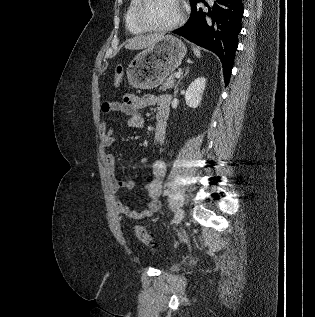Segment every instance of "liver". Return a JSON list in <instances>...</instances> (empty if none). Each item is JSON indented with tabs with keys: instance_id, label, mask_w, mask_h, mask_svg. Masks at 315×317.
Masks as SVG:
<instances>
[{
	"instance_id": "1",
	"label": "liver",
	"mask_w": 315,
	"mask_h": 317,
	"mask_svg": "<svg viewBox=\"0 0 315 317\" xmlns=\"http://www.w3.org/2000/svg\"><path fill=\"white\" fill-rule=\"evenodd\" d=\"M164 34H151L147 36H135L129 39L125 45L126 49L139 50L153 46Z\"/></svg>"
}]
</instances>
